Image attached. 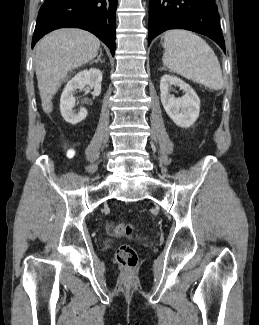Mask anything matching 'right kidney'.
<instances>
[{
  "label": "right kidney",
  "mask_w": 259,
  "mask_h": 325,
  "mask_svg": "<svg viewBox=\"0 0 259 325\" xmlns=\"http://www.w3.org/2000/svg\"><path fill=\"white\" fill-rule=\"evenodd\" d=\"M102 72L97 68L83 70L77 73L65 86L61 99L60 111L66 122L73 125L81 122L87 116L86 108H80L78 113L73 111L76 99L74 97L77 90H82L86 85L94 89L93 95L99 96L101 93Z\"/></svg>",
  "instance_id": "obj_1"
}]
</instances>
